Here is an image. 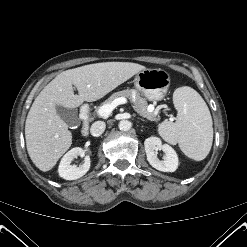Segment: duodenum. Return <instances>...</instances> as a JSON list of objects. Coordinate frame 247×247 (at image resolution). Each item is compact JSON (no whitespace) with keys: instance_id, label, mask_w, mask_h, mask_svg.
Masks as SVG:
<instances>
[{"instance_id":"obj_1","label":"duodenum","mask_w":247,"mask_h":247,"mask_svg":"<svg viewBox=\"0 0 247 247\" xmlns=\"http://www.w3.org/2000/svg\"><path fill=\"white\" fill-rule=\"evenodd\" d=\"M80 119L82 121L81 132L83 135H88L90 125V112L89 107L84 105L80 109Z\"/></svg>"}]
</instances>
